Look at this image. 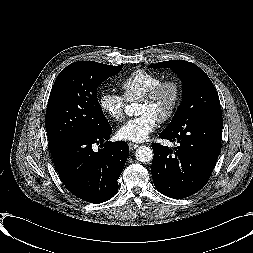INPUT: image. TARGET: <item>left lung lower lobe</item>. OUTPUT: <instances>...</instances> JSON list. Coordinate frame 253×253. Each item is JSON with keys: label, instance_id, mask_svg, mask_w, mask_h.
Listing matches in <instances>:
<instances>
[{"label": "left lung lower lobe", "instance_id": "0a47b994", "mask_svg": "<svg viewBox=\"0 0 253 253\" xmlns=\"http://www.w3.org/2000/svg\"><path fill=\"white\" fill-rule=\"evenodd\" d=\"M223 119L190 121L175 131H162V139L177 141L174 150L152 144V178L162 194L176 199L191 196L208 182L216 164Z\"/></svg>", "mask_w": 253, "mask_h": 253}]
</instances>
